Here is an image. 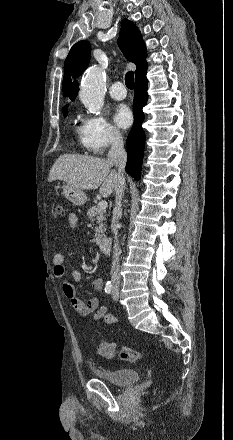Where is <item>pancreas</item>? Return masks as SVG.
I'll return each instance as SVG.
<instances>
[{"label":"pancreas","instance_id":"cf45deb5","mask_svg":"<svg viewBox=\"0 0 233 440\" xmlns=\"http://www.w3.org/2000/svg\"><path fill=\"white\" fill-rule=\"evenodd\" d=\"M106 211L103 209H99L97 206H92L87 211V216L93 224H96L95 227V240L96 242H100L105 237V218Z\"/></svg>","mask_w":233,"mask_h":440}]
</instances>
